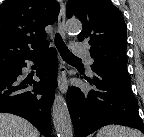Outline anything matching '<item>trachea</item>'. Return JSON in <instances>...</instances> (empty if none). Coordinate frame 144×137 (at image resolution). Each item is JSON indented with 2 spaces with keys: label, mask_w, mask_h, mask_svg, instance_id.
I'll return each instance as SVG.
<instances>
[{
  "label": "trachea",
  "mask_w": 144,
  "mask_h": 137,
  "mask_svg": "<svg viewBox=\"0 0 144 137\" xmlns=\"http://www.w3.org/2000/svg\"><path fill=\"white\" fill-rule=\"evenodd\" d=\"M55 44H56V47H57L58 51L60 52V55L62 56L63 59H65V60H81L80 58L76 57L69 51V49L67 48V46L65 45V43L63 42V40L59 34L55 35Z\"/></svg>",
  "instance_id": "1"
}]
</instances>
